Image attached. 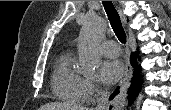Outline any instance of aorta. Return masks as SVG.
<instances>
[{"label": "aorta", "instance_id": "1", "mask_svg": "<svg viewBox=\"0 0 171 110\" xmlns=\"http://www.w3.org/2000/svg\"><path fill=\"white\" fill-rule=\"evenodd\" d=\"M106 29V23L96 15L88 17L82 27L79 39V70L84 75H91L95 72L99 61V43Z\"/></svg>", "mask_w": 171, "mask_h": 110}]
</instances>
